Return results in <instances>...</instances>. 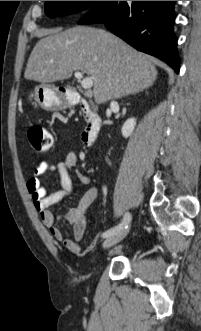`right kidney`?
<instances>
[{"label": "right kidney", "mask_w": 201, "mask_h": 331, "mask_svg": "<svg viewBox=\"0 0 201 331\" xmlns=\"http://www.w3.org/2000/svg\"><path fill=\"white\" fill-rule=\"evenodd\" d=\"M135 125H136V119L130 118V119L126 120V122L122 126L123 137L128 138L129 136H131V134L133 133V130L135 128Z\"/></svg>", "instance_id": "ca27d5eb"}]
</instances>
